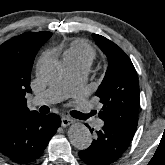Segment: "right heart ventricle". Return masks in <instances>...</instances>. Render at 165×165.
<instances>
[{
  "label": "right heart ventricle",
  "mask_w": 165,
  "mask_h": 165,
  "mask_svg": "<svg viewBox=\"0 0 165 165\" xmlns=\"http://www.w3.org/2000/svg\"><path fill=\"white\" fill-rule=\"evenodd\" d=\"M96 57L95 49L86 41L77 39L63 49V60L69 65L90 66Z\"/></svg>",
  "instance_id": "e07e8e85"
}]
</instances>
